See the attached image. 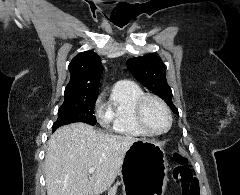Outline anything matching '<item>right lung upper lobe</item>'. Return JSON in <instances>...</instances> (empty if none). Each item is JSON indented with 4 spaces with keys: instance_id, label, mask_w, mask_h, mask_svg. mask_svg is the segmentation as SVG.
<instances>
[{
    "instance_id": "right-lung-upper-lobe-1",
    "label": "right lung upper lobe",
    "mask_w": 240,
    "mask_h": 195,
    "mask_svg": "<svg viewBox=\"0 0 240 195\" xmlns=\"http://www.w3.org/2000/svg\"><path fill=\"white\" fill-rule=\"evenodd\" d=\"M70 81L65 89V99L98 97L102 64L93 51L75 56L69 64Z\"/></svg>"
}]
</instances>
